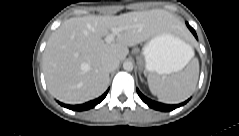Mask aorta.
Wrapping results in <instances>:
<instances>
[{
    "mask_svg": "<svg viewBox=\"0 0 239 136\" xmlns=\"http://www.w3.org/2000/svg\"><path fill=\"white\" fill-rule=\"evenodd\" d=\"M123 68L126 71H132L133 70V63L131 61H125L123 63Z\"/></svg>",
    "mask_w": 239,
    "mask_h": 136,
    "instance_id": "obj_1",
    "label": "aorta"
}]
</instances>
